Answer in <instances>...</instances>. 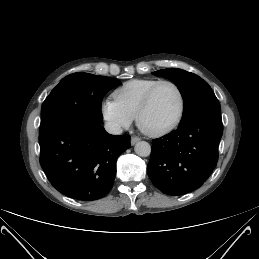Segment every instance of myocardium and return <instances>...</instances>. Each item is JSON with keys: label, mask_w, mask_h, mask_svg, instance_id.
I'll return each mask as SVG.
<instances>
[{"label": "myocardium", "mask_w": 259, "mask_h": 259, "mask_svg": "<svg viewBox=\"0 0 259 259\" xmlns=\"http://www.w3.org/2000/svg\"><path fill=\"white\" fill-rule=\"evenodd\" d=\"M163 84L171 85L176 90L179 96V102H180L179 112L177 114V117L174 119V121L170 123L168 126L155 131L148 130L143 126L142 119L144 114L147 112L148 108L151 105V102L156 90ZM184 113H185V96L181 87L176 82L169 79L159 80L147 91L146 95L144 96L143 101L136 115V124L138 128L146 135L151 137H160L173 131L182 121Z\"/></svg>", "instance_id": "myocardium-1"}]
</instances>
